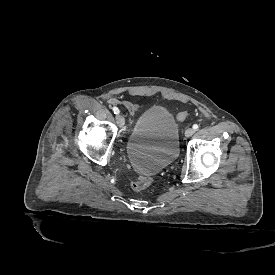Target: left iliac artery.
<instances>
[{
  "label": "left iliac artery",
  "mask_w": 275,
  "mask_h": 275,
  "mask_svg": "<svg viewBox=\"0 0 275 275\" xmlns=\"http://www.w3.org/2000/svg\"><path fill=\"white\" fill-rule=\"evenodd\" d=\"M199 128V126L197 124L193 125V129L197 130Z\"/></svg>",
  "instance_id": "obj_1"
}]
</instances>
